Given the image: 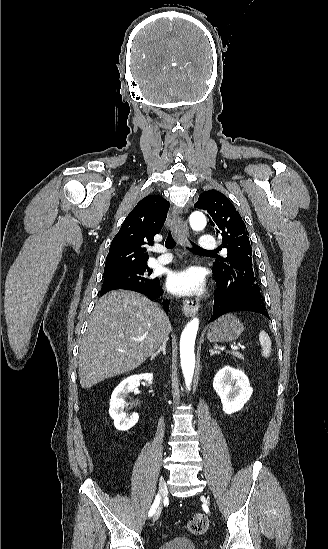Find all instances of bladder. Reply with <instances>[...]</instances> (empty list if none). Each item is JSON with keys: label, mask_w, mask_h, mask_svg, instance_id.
Instances as JSON below:
<instances>
[{"label": "bladder", "mask_w": 328, "mask_h": 549, "mask_svg": "<svg viewBox=\"0 0 328 549\" xmlns=\"http://www.w3.org/2000/svg\"><path fill=\"white\" fill-rule=\"evenodd\" d=\"M160 549H193L184 538L172 540L161 545Z\"/></svg>", "instance_id": "bladder-1"}]
</instances>
